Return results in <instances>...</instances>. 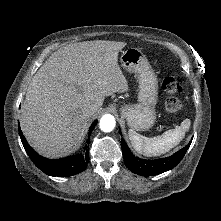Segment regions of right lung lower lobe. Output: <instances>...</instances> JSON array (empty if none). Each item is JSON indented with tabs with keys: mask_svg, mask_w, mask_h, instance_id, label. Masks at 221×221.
Here are the masks:
<instances>
[{
	"mask_svg": "<svg viewBox=\"0 0 221 221\" xmlns=\"http://www.w3.org/2000/svg\"><path fill=\"white\" fill-rule=\"evenodd\" d=\"M96 124L97 121H95L90 127L88 140L90 139L91 132L93 131ZM19 134L26 153L33 161V163L45 174L57 177H68L78 174L86 169L87 164L89 162L88 145H85L84 150L81 153L57 160H51L40 156L38 153H36L33 150L32 147L29 146L20 128H19Z\"/></svg>",
	"mask_w": 221,
	"mask_h": 221,
	"instance_id": "obj_1",
	"label": "right lung lower lobe"
}]
</instances>
